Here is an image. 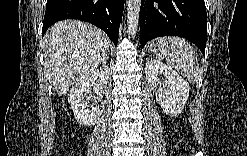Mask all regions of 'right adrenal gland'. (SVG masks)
<instances>
[{"mask_svg":"<svg viewBox=\"0 0 247 156\" xmlns=\"http://www.w3.org/2000/svg\"><path fill=\"white\" fill-rule=\"evenodd\" d=\"M108 54L102 59V63L105 64V65L107 64Z\"/></svg>","mask_w":247,"mask_h":156,"instance_id":"right-adrenal-gland-1","label":"right adrenal gland"}]
</instances>
